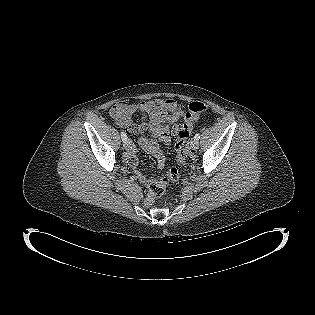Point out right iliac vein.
Listing matches in <instances>:
<instances>
[{
    "label": "right iliac vein",
    "instance_id": "right-iliac-vein-1",
    "mask_svg": "<svg viewBox=\"0 0 315 315\" xmlns=\"http://www.w3.org/2000/svg\"><path fill=\"white\" fill-rule=\"evenodd\" d=\"M124 147L126 150H131L133 148V142L131 139H127L125 142H124Z\"/></svg>",
    "mask_w": 315,
    "mask_h": 315
}]
</instances>
